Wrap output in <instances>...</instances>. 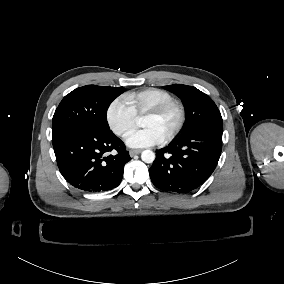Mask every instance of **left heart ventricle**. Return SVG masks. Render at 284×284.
<instances>
[{
    "instance_id": "1",
    "label": "left heart ventricle",
    "mask_w": 284,
    "mask_h": 284,
    "mask_svg": "<svg viewBox=\"0 0 284 284\" xmlns=\"http://www.w3.org/2000/svg\"><path fill=\"white\" fill-rule=\"evenodd\" d=\"M175 121L176 113L171 110L159 117L144 116L142 126L153 129L163 139L172 130Z\"/></svg>"
}]
</instances>
